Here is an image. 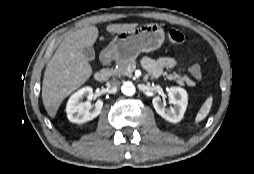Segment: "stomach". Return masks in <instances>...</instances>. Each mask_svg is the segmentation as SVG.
Listing matches in <instances>:
<instances>
[{"label":"stomach","instance_id":"stomach-1","mask_svg":"<svg viewBox=\"0 0 254 174\" xmlns=\"http://www.w3.org/2000/svg\"><path fill=\"white\" fill-rule=\"evenodd\" d=\"M165 33L160 25L151 23L119 33L103 50L111 60L135 59L141 52L158 49L164 42Z\"/></svg>","mask_w":254,"mask_h":174}]
</instances>
